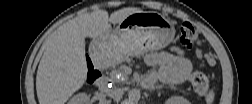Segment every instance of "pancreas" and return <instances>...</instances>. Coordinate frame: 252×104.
Returning a JSON list of instances; mask_svg holds the SVG:
<instances>
[{
  "label": "pancreas",
  "mask_w": 252,
  "mask_h": 104,
  "mask_svg": "<svg viewBox=\"0 0 252 104\" xmlns=\"http://www.w3.org/2000/svg\"><path fill=\"white\" fill-rule=\"evenodd\" d=\"M121 76H122V79H121L122 81L128 82L129 77H128V75H127V74L122 73V74H121Z\"/></svg>",
  "instance_id": "1"
}]
</instances>
